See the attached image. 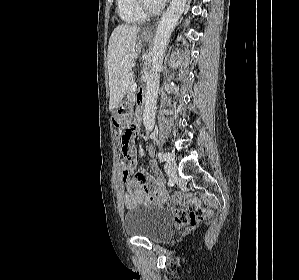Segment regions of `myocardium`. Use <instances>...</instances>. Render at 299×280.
Here are the masks:
<instances>
[{
  "label": "myocardium",
  "instance_id": "1",
  "mask_svg": "<svg viewBox=\"0 0 299 280\" xmlns=\"http://www.w3.org/2000/svg\"><path fill=\"white\" fill-rule=\"evenodd\" d=\"M137 1V5H138V8L139 10L145 15V16H153V15H156L158 14L161 9H162V5L161 4H158L157 6L155 7H150L148 4H147V1L146 0H136Z\"/></svg>",
  "mask_w": 299,
  "mask_h": 280
}]
</instances>
